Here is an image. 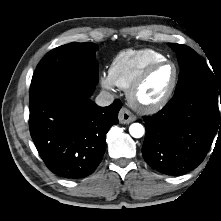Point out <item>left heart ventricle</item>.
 I'll use <instances>...</instances> for the list:
<instances>
[{"label":"left heart ventricle","instance_id":"obj_1","mask_svg":"<svg viewBox=\"0 0 221 221\" xmlns=\"http://www.w3.org/2000/svg\"><path fill=\"white\" fill-rule=\"evenodd\" d=\"M173 78V68L163 65L149 75L140 90L138 99L142 103H152L158 100L168 89Z\"/></svg>","mask_w":221,"mask_h":221}]
</instances>
